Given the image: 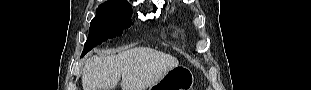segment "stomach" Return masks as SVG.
Returning a JSON list of instances; mask_svg holds the SVG:
<instances>
[{
	"instance_id": "stomach-1",
	"label": "stomach",
	"mask_w": 311,
	"mask_h": 90,
	"mask_svg": "<svg viewBox=\"0 0 311 90\" xmlns=\"http://www.w3.org/2000/svg\"><path fill=\"white\" fill-rule=\"evenodd\" d=\"M193 85L194 75L192 71L185 66L178 65L150 86L149 90H192Z\"/></svg>"
}]
</instances>
